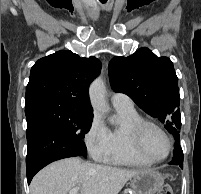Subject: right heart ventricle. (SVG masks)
<instances>
[{
  "instance_id": "e07e8e85",
  "label": "right heart ventricle",
  "mask_w": 201,
  "mask_h": 194,
  "mask_svg": "<svg viewBox=\"0 0 201 194\" xmlns=\"http://www.w3.org/2000/svg\"><path fill=\"white\" fill-rule=\"evenodd\" d=\"M118 120L107 129V149L101 157L105 162L127 166H149L133 144V128L142 117L133 108L115 107Z\"/></svg>"
}]
</instances>
